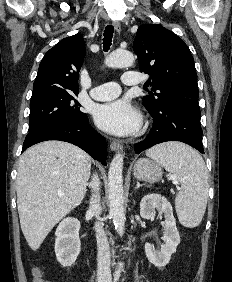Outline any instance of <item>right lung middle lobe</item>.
<instances>
[{
  "label": "right lung middle lobe",
  "instance_id": "1",
  "mask_svg": "<svg viewBox=\"0 0 232 282\" xmlns=\"http://www.w3.org/2000/svg\"><path fill=\"white\" fill-rule=\"evenodd\" d=\"M78 91L46 89L33 91L30 101L29 130L33 131L61 120H83L86 114L80 111L75 99Z\"/></svg>",
  "mask_w": 232,
  "mask_h": 282
}]
</instances>
